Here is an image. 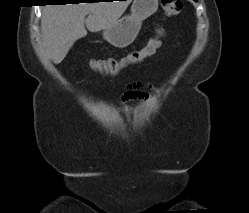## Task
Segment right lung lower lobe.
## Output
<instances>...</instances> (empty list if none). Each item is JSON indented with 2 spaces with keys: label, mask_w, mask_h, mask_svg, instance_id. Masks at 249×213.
Returning a JSON list of instances; mask_svg holds the SVG:
<instances>
[{
  "label": "right lung lower lobe",
  "mask_w": 249,
  "mask_h": 213,
  "mask_svg": "<svg viewBox=\"0 0 249 213\" xmlns=\"http://www.w3.org/2000/svg\"><path fill=\"white\" fill-rule=\"evenodd\" d=\"M65 0H48L47 2L65 3Z\"/></svg>",
  "instance_id": "right-lung-lower-lobe-1"
}]
</instances>
